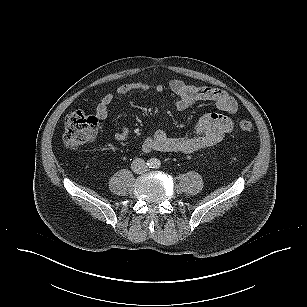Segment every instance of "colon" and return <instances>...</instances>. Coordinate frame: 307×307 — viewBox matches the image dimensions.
<instances>
[{"label":"colon","mask_w":307,"mask_h":307,"mask_svg":"<svg viewBox=\"0 0 307 307\" xmlns=\"http://www.w3.org/2000/svg\"><path fill=\"white\" fill-rule=\"evenodd\" d=\"M238 126L243 132L254 129L253 122L246 118L239 121ZM98 133V119L95 116L74 111L65 119L63 143L69 149L80 147L93 140Z\"/></svg>","instance_id":"colon-1"}]
</instances>
